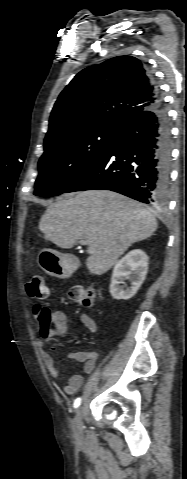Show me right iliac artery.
<instances>
[{"label":"right iliac artery","mask_w":187,"mask_h":479,"mask_svg":"<svg viewBox=\"0 0 187 479\" xmlns=\"http://www.w3.org/2000/svg\"><path fill=\"white\" fill-rule=\"evenodd\" d=\"M81 404V398H77L75 401H74V408H77L79 405Z\"/></svg>","instance_id":"82829eb1"}]
</instances>
